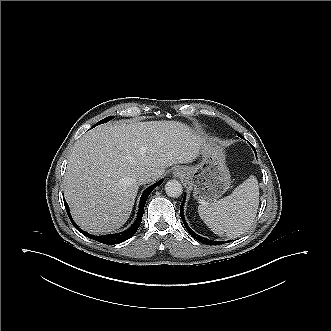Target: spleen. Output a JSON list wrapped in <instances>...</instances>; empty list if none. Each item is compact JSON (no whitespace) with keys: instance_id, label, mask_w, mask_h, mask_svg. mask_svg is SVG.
Listing matches in <instances>:
<instances>
[{"instance_id":"3e777b00","label":"spleen","mask_w":331,"mask_h":331,"mask_svg":"<svg viewBox=\"0 0 331 331\" xmlns=\"http://www.w3.org/2000/svg\"><path fill=\"white\" fill-rule=\"evenodd\" d=\"M258 200V181L249 176L230 195L220 200H201L198 213L215 234L237 238L250 228L257 213Z\"/></svg>"}]
</instances>
